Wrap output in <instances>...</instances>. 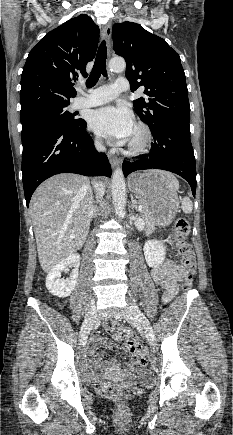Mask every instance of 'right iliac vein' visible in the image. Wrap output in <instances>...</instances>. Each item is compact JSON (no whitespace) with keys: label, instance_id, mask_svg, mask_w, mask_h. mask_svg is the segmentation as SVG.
<instances>
[{"label":"right iliac vein","instance_id":"obj_1","mask_svg":"<svg viewBox=\"0 0 233 435\" xmlns=\"http://www.w3.org/2000/svg\"><path fill=\"white\" fill-rule=\"evenodd\" d=\"M97 310L95 305H91L80 331V344L85 347L88 336L96 322Z\"/></svg>","mask_w":233,"mask_h":435}]
</instances>
